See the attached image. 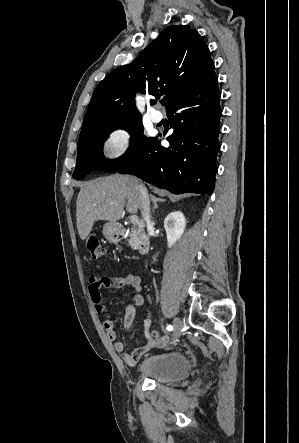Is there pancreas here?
I'll return each mask as SVG.
<instances>
[{"label": "pancreas", "mask_w": 299, "mask_h": 443, "mask_svg": "<svg viewBox=\"0 0 299 443\" xmlns=\"http://www.w3.org/2000/svg\"><path fill=\"white\" fill-rule=\"evenodd\" d=\"M139 231L137 229H132L129 233V244L131 245L132 249H137L139 246L140 239L138 237Z\"/></svg>", "instance_id": "pancreas-1"}]
</instances>
